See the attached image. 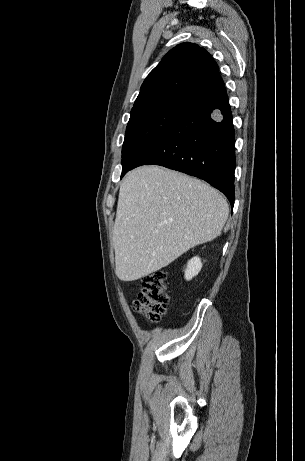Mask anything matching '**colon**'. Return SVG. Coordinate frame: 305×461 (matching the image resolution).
Wrapping results in <instances>:
<instances>
[{"label":"colon","mask_w":305,"mask_h":461,"mask_svg":"<svg viewBox=\"0 0 305 461\" xmlns=\"http://www.w3.org/2000/svg\"><path fill=\"white\" fill-rule=\"evenodd\" d=\"M169 303L166 273L155 271L142 280V289L133 302V310L144 314L150 321L158 322L166 313Z\"/></svg>","instance_id":"colon-1"}]
</instances>
